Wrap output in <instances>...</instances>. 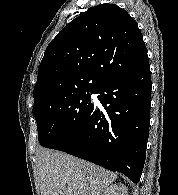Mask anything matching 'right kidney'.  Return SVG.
Segmentation results:
<instances>
[{"label": "right kidney", "instance_id": "right-kidney-1", "mask_svg": "<svg viewBox=\"0 0 178 195\" xmlns=\"http://www.w3.org/2000/svg\"><path fill=\"white\" fill-rule=\"evenodd\" d=\"M103 195H128V192L125 185L113 184L105 190Z\"/></svg>", "mask_w": 178, "mask_h": 195}]
</instances>
